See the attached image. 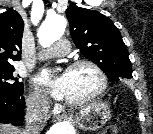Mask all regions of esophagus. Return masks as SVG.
Here are the masks:
<instances>
[{
    "label": "esophagus",
    "instance_id": "obj_1",
    "mask_svg": "<svg viewBox=\"0 0 153 134\" xmlns=\"http://www.w3.org/2000/svg\"><path fill=\"white\" fill-rule=\"evenodd\" d=\"M58 118H66V116H63V115H62V116H59Z\"/></svg>",
    "mask_w": 153,
    "mask_h": 134
}]
</instances>
